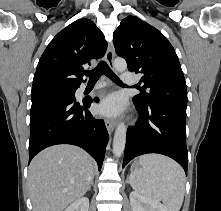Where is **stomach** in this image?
Listing matches in <instances>:
<instances>
[{
	"label": "stomach",
	"mask_w": 221,
	"mask_h": 211,
	"mask_svg": "<svg viewBox=\"0 0 221 211\" xmlns=\"http://www.w3.org/2000/svg\"><path fill=\"white\" fill-rule=\"evenodd\" d=\"M141 166H140V164L137 162V161H135L133 164H132V170H136V169H139Z\"/></svg>",
	"instance_id": "0dacf381"
}]
</instances>
